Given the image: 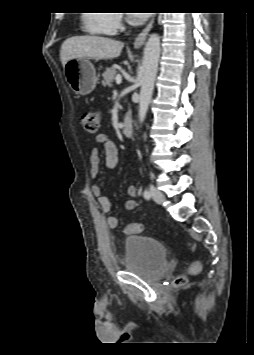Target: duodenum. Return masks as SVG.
Listing matches in <instances>:
<instances>
[{
    "instance_id": "410a0bca",
    "label": "duodenum",
    "mask_w": 254,
    "mask_h": 355,
    "mask_svg": "<svg viewBox=\"0 0 254 355\" xmlns=\"http://www.w3.org/2000/svg\"><path fill=\"white\" fill-rule=\"evenodd\" d=\"M133 123L129 115H126L122 123V132L126 137H131L133 135Z\"/></svg>"
}]
</instances>
